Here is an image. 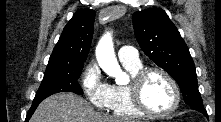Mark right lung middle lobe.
Masks as SVG:
<instances>
[{
  "label": "right lung middle lobe",
  "mask_w": 221,
  "mask_h": 122,
  "mask_svg": "<svg viewBox=\"0 0 221 122\" xmlns=\"http://www.w3.org/2000/svg\"><path fill=\"white\" fill-rule=\"evenodd\" d=\"M84 63L81 64H48L42 83L33 102H41L48 96L59 92L82 94L77 82Z\"/></svg>",
  "instance_id": "obj_1"
}]
</instances>
